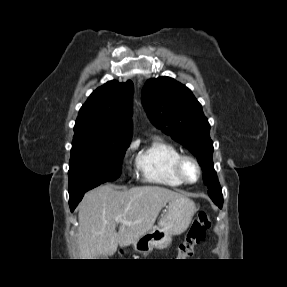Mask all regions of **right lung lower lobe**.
<instances>
[{
	"label": "right lung lower lobe",
	"mask_w": 287,
	"mask_h": 287,
	"mask_svg": "<svg viewBox=\"0 0 287 287\" xmlns=\"http://www.w3.org/2000/svg\"><path fill=\"white\" fill-rule=\"evenodd\" d=\"M98 185H100V184H92V185H89V186L84 187V188H83L82 190H80V191H77V192L71 194V195H70V200H69V205H70L71 212L74 211V209L76 208V206L78 205V203H79V202L81 201V199L83 198L84 194H85L88 190H90V189H92V188H94V187H96V186H98Z\"/></svg>",
	"instance_id": "98d812e1"
}]
</instances>
